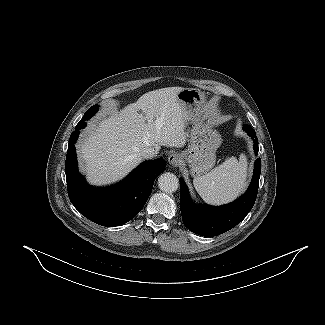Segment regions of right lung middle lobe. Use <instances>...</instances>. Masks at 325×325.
<instances>
[{"label":"right lung middle lobe","instance_id":"dd1d6c3e","mask_svg":"<svg viewBox=\"0 0 325 325\" xmlns=\"http://www.w3.org/2000/svg\"><path fill=\"white\" fill-rule=\"evenodd\" d=\"M97 110H98V105H94V106H92L91 108H89L87 111H86V113L84 114V118L82 119V120H80V122H82V121H85V120H87V119H89L90 117H92L96 112H97ZM79 122V123H80ZM78 123V124H79ZM77 124V125H78Z\"/></svg>","mask_w":325,"mask_h":325}]
</instances>
